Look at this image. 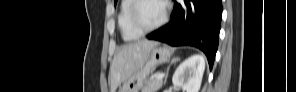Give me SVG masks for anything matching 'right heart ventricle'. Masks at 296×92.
Listing matches in <instances>:
<instances>
[{"mask_svg":"<svg viewBox=\"0 0 296 92\" xmlns=\"http://www.w3.org/2000/svg\"><path fill=\"white\" fill-rule=\"evenodd\" d=\"M132 4L133 0H123L121 2L117 17V23L121 36L126 41L137 40L142 35L131 26L129 21V13Z\"/></svg>","mask_w":296,"mask_h":92,"instance_id":"1","label":"right heart ventricle"}]
</instances>
